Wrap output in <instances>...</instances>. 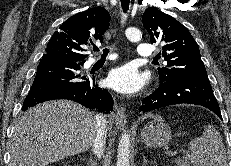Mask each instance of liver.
<instances>
[{"mask_svg": "<svg viewBox=\"0 0 231 166\" xmlns=\"http://www.w3.org/2000/svg\"><path fill=\"white\" fill-rule=\"evenodd\" d=\"M148 116L153 115L142 119ZM96 134L94 113L73 101L37 105L15 126L9 166H46L83 153L94 144Z\"/></svg>", "mask_w": 231, "mask_h": 166, "instance_id": "1", "label": "liver"}]
</instances>
